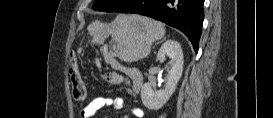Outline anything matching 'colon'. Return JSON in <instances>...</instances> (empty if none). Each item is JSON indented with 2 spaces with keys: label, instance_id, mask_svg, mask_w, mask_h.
Listing matches in <instances>:
<instances>
[{
  "label": "colon",
  "instance_id": "obj_1",
  "mask_svg": "<svg viewBox=\"0 0 273 118\" xmlns=\"http://www.w3.org/2000/svg\"><path fill=\"white\" fill-rule=\"evenodd\" d=\"M68 75L74 98L78 101L83 100L86 94L85 85L75 58L70 59ZM103 80L108 85L122 86L126 84V81L121 76L114 73L105 74Z\"/></svg>",
  "mask_w": 273,
  "mask_h": 118
}]
</instances>
